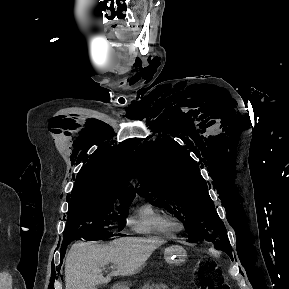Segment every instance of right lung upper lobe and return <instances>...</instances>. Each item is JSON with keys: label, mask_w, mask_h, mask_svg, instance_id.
<instances>
[{"label": "right lung upper lobe", "mask_w": 289, "mask_h": 289, "mask_svg": "<svg viewBox=\"0 0 289 289\" xmlns=\"http://www.w3.org/2000/svg\"><path fill=\"white\" fill-rule=\"evenodd\" d=\"M77 174L72 199L116 196L133 198L135 189L128 184L131 157L122 146H110L92 154Z\"/></svg>", "instance_id": "obj_1"}]
</instances>
